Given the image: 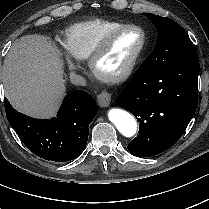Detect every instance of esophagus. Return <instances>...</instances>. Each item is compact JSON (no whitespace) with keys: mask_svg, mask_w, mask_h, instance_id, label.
Wrapping results in <instances>:
<instances>
[{"mask_svg":"<svg viewBox=\"0 0 209 209\" xmlns=\"http://www.w3.org/2000/svg\"><path fill=\"white\" fill-rule=\"evenodd\" d=\"M111 102V96L108 92L102 91L98 95V103L101 107H107Z\"/></svg>","mask_w":209,"mask_h":209,"instance_id":"obj_1","label":"esophagus"}]
</instances>
